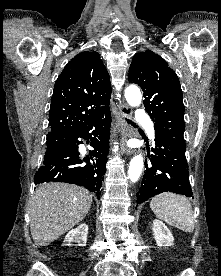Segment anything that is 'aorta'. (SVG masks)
Listing matches in <instances>:
<instances>
[{
	"instance_id": "obj_1",
	"label": "aorta",
	"mask_w": 221,
	"mask_h": 276,
	"mask_svg": "<svg viewBox=\"0 0 221 276\" xmlns=\"http://www.w3.org/2000/svg\"><path fill=\"white\" fill-rule=\"evenodd\" d=\"M125 98L128 104L132 107H137L141 104L142 95L140 89L136 86H129L125 90ZM143 169V157L141 154L135 155L130 162L128 169V177L132 182L138 181Z\"/></svg>"
}]
</instances>
